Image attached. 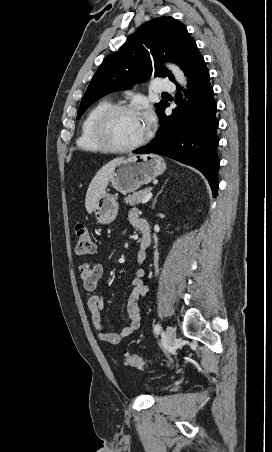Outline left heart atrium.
Here are the masks:
<instances>
[{
	"label": "left heart atrium",
	"mask_w": 272,
	"mask_h": 452,
	"mask_svg": "<svg viewBox=\"0 0 272 452\" xmlns=\"http://www.w3.org/2000/svg\"><path fill=\"white\" fill-rule=\"evenodd\" d=\"M153 120H154L153 114H152V113H148V114H147V122H148V123H152Z\"/></svg>",
	"instance_id": "left-heart-atrium-1"
}]
</instances>
